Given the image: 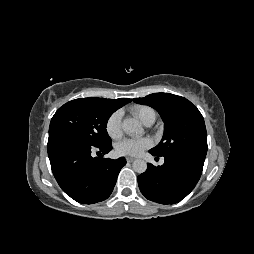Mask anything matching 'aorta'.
<instances>
[{"label": "aorta", "instance_id": "1", "mask_svg": "<svg viewBox=\"0 0 254 254\" xmlns=\"http://www.w3.org/2000/svg\"><path fill=\"white\" fill-rule=\"evenodd\" d=\"M123 131L128 135H142L143 128L140 123L133 119H125L122 123ZM133 170L139 174L144 173L147 170V163L142 159H136L132 164Z\"/></svg>", "mask_w": 254, "mask_h": 254}]
</instances>
